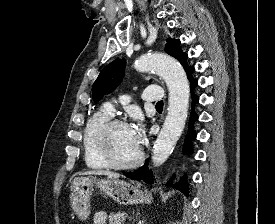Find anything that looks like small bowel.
Masks as SVG:
<instances>
[{"label": "small bowel", "instance_id": "small-bowel-1", "mask_svg": "<svg viewBox=\"0 0 275 224\" xmlns=\"http://www.w3.org/2000/svg\"><path fill=\"white\" fill-rule=\"evenodd\" d=\"M94 224H107V216L105 212L99 211L95 214Z\"/></svg>", "mask_w": 275, "mask_h": 224}]
</instances>
